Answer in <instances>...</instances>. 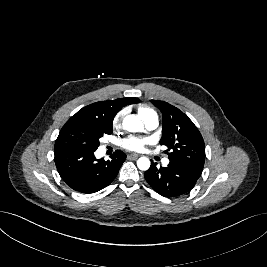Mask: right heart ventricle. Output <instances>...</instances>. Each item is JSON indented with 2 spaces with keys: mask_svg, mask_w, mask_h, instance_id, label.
<instances>
[{
  "mask_svg": "<svg viewBox=\"0 0 267 267\" xmlns=\"http://www.w3.org/2000/svg\"><path fill=\"white\" fill-rule=\"evenodd\" d=\"M139 115L144 120L152 115H156L155 111L147 106H142L139 108Z\"/></svg>",
  "mask_w": 267,
  "mask_h": 267,
  "instance_id": "right-heart-ventricle-1",
  "label": "right heart ventricle"
}]
</instances>
